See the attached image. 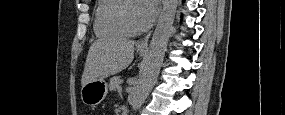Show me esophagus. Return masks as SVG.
<instances>
[{
	"instance_id": "1",
	"label": "esophagus",
	"mask_w": 285,
	"mask_h": 115,
	"mask_svg": "<svg viewBox=\"0 0 285 115\" xmlns=\"http://www.w3.org/2000/svg\"><path fill=\"white\" fill-rule=\"evenodd\" d=\"M151 33H149L148 35H146L142 40H140L137 43V47L141 48V49H147L148 48V42L150 39Z\"/></svg>"
}]
</instances>
